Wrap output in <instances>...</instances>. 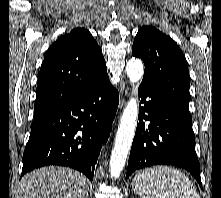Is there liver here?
<instances>
[{"label":"liver","instance_id":"1","mask_svg":"<svg viewBox=\"0 0 221 198\" xmlns=\"http://www.w3.org/2000/svg\"><path fill=\"white\" fill-rule=\"evenodd\" d=\"M86 177L67 167H43L27 174L19 184L15 198H87Z\"/></svg>","mask_w":221,"mask_h":198}]
</instances>
